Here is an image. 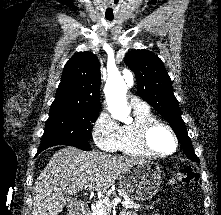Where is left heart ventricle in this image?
Listing matches in <instances>:
<instances>
[{
  "instance_id": "obj_1",
  "label": "left heart ventricle",
  "mask_w": 221,
  "mask_h": 215,
  "mask_svg": "<svg viewBox=\"0 0 221 215\" xmlns=\"http://www.w3.org/2000/svg\"><path fill=\"white\" fill-rule=\"evenodd\" d=\"M151 147L158 152H168L173 149L174 142L167 129L158 127L150 135Z\"/></svg>"
}]
</instances>
